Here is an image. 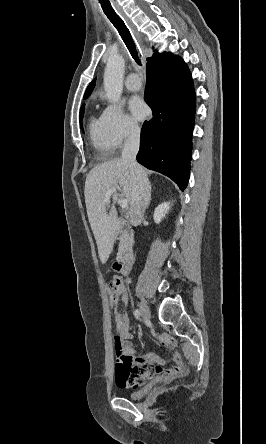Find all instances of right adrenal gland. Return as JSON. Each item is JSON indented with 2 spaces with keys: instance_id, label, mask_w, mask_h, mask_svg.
I'll return each instance as SVG.
<instances>
[{
  "instance_id": "obj_1",
  "label": "right adrenal gland",
  "mask_w": 266,
  "mask_h": 444,
  "mask_svg": "<svg viewBox=\"0 0 266 444\" xmlns=\"http://www.w3.org/2000/svg\"><path fill=\"white\" fill-rule=\"evenodd\" d=\"M149 189H150V191H149V202H148L147 208L149 207V204H150V201H151V185L149 186Z\"/></svg>"
}]
</instances>
